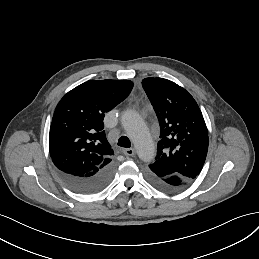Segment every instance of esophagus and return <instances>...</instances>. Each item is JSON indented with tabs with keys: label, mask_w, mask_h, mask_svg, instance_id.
I'll return each instance as SVG.
<instances>
[{
	"label": "esophagus",
	"mask_w": 259,
	"mask_h": 259,
	"mask_svg": "<svg viewBox=\"0 0 259 259\" xmlns=\"http://www.w3.org/2000/svg\"><path fill=\"white\" fill-rule=\"evenodd\" d=\"M123 154L126 156H133L135 155V149L133 148H125L122 150Z\"/></svg>",
	"instance_id": "1"
}]
</instances>
